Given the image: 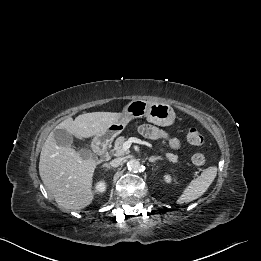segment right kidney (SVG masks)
<instances>
[{
    "label": "right kidney",
    "mask_w": 261,
    "mask_h": 261,
    "mask_svg": "<svg viewBox=\"0 0 261 261\" xmlns=\"http://www.w3.org/2000/svg\"><path fill=\"white\" fill-rule=\"evenodd\" d=\"M95 189L97 193H104L106 191V183L104 181L97 182Z\"/></svg>",
    "instance_id": "right-kidney-1"
}]
</instances>
